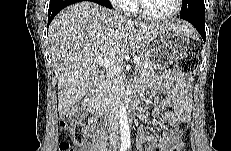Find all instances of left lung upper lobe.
<instances>
[{
	"mask_svg": "<svg viewBox=\"0 0 231 151\" xmlns=\"http://www.w3.org/2000/svg\"><path fill=\"white\" fill-rule=\"evenodd\" d=\"M196 1H204V0H183L182 1V11H186L190 5Z\"/></svg>",
	"mask_w": 231,
	"mask_h": 151,
	"instance_id": "left-lung-upper-lobe-1",
	"label": "left lung upper lobe"
}]
</instances>
